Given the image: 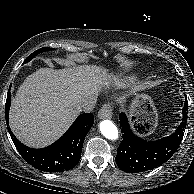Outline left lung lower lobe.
<instances>
[{"label":"left lung lower lobe","instance_id":"1","mask_svg":"<svg viewBox=\"0 0 194 194\" xmlns=\"http://www.w3.org/2000/svg\"><path fill=\"white\" fill-rule=\"evenodd\" d=\"M182 109L183 119L176 131L163 139L146 141L135 135L124 113H120L123 140L115 158L118 167L128 173H139L156 168L165 163L177 151L187 123L188 103L185 99Z\"/></svg>","mask_w":194,"mask_h":194}]
</instances>
